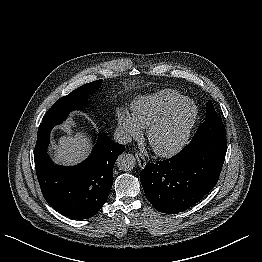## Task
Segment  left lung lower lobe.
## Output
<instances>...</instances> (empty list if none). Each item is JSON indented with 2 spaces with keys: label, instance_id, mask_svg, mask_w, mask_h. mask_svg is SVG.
<instances>
[{
  "label": "left lung lower lobe",
  "instance_id": "obj_1",
  "mask_svg": "<svg viewBox=\"0 0 262 262\" xmlns=\"http://www.w3.org/2000/svg\"><path fill=\"white\" fill-rule=\"evenodd\" d=\"M226 151L225 137H206L170 159L147 163L140 175L147 199L162 213L190 208L217 183Z\"/></svg>",
  "mask_w": 262,
  "mask_h": 262
}]
</instances>
